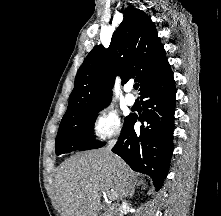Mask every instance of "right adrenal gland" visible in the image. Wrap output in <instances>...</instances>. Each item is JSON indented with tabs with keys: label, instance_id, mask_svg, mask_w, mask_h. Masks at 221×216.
<instances>
[{
	"label": "right adrenal gland",
	"instance_id": "2a0ac1e0",
	"mask_svg": "<svg viewBox=\"0 0 221 216\" xmlns=\"http://www.w3.org/2000/svg\"><path fill=\"white\" fill-rule=\"evenodd\" d=\"M136 186H137V187L142 186V189H145V184H144L142 181L138 182V183L136 184ZM133 195H134V189H132V191L129 193V197L132 198Z\"/></svg>",
	"mask_w": 221,
	"mask_h": 216
}]
</instances>
